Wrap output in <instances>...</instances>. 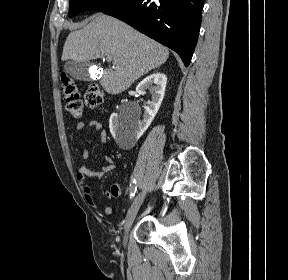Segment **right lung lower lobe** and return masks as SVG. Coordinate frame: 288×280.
I'll return each mask as SVG.
<instances>
[{
  "label": "right lung lower lobe",
  "instance_id": "98d812e1",
  "mask_svg": "<svg viewBox=\"0 0 288 280\" xmlns=\"http://www.w3.org/2000/svg\"><path fill=\"white\" fill-rule=\"evenodd\" d=\"M204 0H122L101 12L116 17L178 53L190 64Z\"/></svg>",
  "mask_w": 288,
  "mask_h": 280
}]
</instances>
